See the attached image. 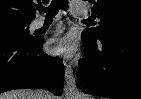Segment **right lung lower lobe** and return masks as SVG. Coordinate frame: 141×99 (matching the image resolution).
<instances>
[{
    "label": "right lung lower lobe",
    "mask_w": 141,
    "mask_h": 99,
    "mask_svg": "<svg viewBox=\"0 0 141 99\" xmlns=\"http://www.w3.org/2000/svg\"><path fill=\"white\" fill-rule=\"evenodd\" d=\"M43 39L0 38V93L18 88H45L60 96L64 67L42 51Z\"/></svg>",
    "instance_id": "obj_1"
}]
</instances>
